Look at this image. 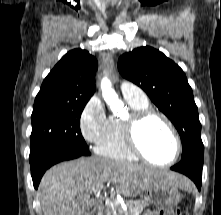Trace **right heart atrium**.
Here are the masks:
<instances>
[{
    "instance_id": "1",
    "label": "right heart atrium",
    "mask_w": 221,
    "mask_h": 215,
    "mask_svg": "<svg viewBox=\"0 0 221 215\" xmlns=\"http://www.w3.org/2000/svg\"><path fill=\"white\" fill-rule=\"evenodd\" d=\"M108 125L105 108L99 98H91L83 108L79 127L84 140L97 144L104 136Z\"/></svg>"
}]
</instances>
